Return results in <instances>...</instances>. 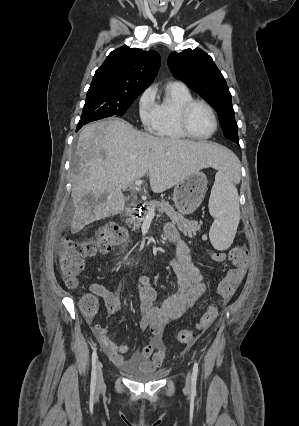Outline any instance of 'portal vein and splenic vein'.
I'll return each instance as SVG.
<instances>
[{
    "mask_svg": "<svg viewBox=\"0 0 299 426\" xmlns=\"http://www.w3.org/2000/svg\"><path fill=\"white\" fill-rule=\"evenodd\" d=\"M134 185L136 187L141 186L142 185V180H136L135 183H134ZM154 211H155V209L152 208L149 213L152 214V215H154Z\"/></svg>",
    "mask_w": 299,
    "mask_h": 426,
    "instance_id": "1",
    "label": "portal vein and splenic vein"
}]
</instances>
